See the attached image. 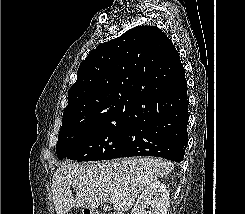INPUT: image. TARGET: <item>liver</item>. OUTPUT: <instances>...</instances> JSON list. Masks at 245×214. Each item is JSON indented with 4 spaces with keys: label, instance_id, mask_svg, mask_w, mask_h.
I'll use <instances>...</instances> for the list:
<instances>
[{
    "label": "liver",
    "instance_id": "liver-1",
    "mask_svg": "<svg viewBox=\"0 0 245 214\" xmlns=\"http://www.w3.org/2000/svg\"><path fill=\"white\" fill-rule=\"evenodd\" d=\"M173 168V163L160 158L64 164L52 180L56 214H66L72 207L94 209L105 201L112 203L115 211H128L141 191ZM71 187L76 190L75 197ZM113 195H117V199L113 200Z\"/></svg>",
    "mask_w": 245,
    "mask_h": 214
}]
</instances>
